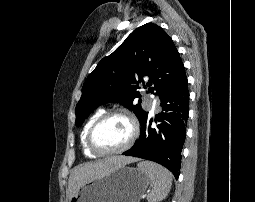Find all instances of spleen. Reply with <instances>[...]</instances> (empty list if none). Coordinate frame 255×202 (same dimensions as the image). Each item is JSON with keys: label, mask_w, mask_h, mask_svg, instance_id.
<instances>
[{"label": "spleen", "mask_w": 255, "mask_h": 202, "mask_svg": "<svg viewBox=\"0 0 255 202\" xmlns=\"http://www.w3.org/2000/svg\"><path fill=\"white\" fill-rule=\"evenodd\" d=\"M138 169L150 179L152 190L147 196L148 202H160L168 195L172 185V175L164 167L150 162L138 163Z\"/></svg>", "instance_id": "spleen-1"}]
</instances>
